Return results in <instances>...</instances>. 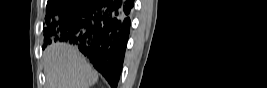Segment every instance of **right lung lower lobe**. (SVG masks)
I'll use <instances>...</instances> for the list:
<instances>
[{"label": "right lung lower lobe", "mask_w": 267, "mask_h": 88, "mask_svg": "<svg viewBox=\"0 0 267 88\" xmlns=\"http://www.w3.org/2000/svg\"><path fill=\"white\" fill-rule=\"evenodd\" d=\"M133 0H74L50 20L49 39L76 45L116 87L130 33Z\"/></svg>", "instance_id": "obj_1"}]
</instances>
